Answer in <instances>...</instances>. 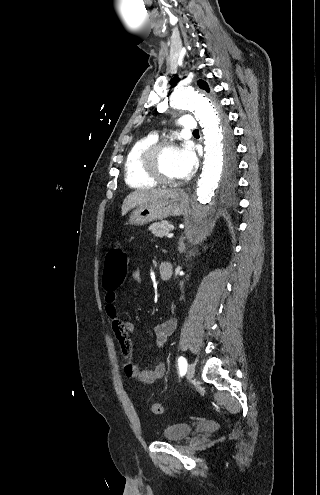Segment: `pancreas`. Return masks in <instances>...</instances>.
I'll return each instance as SVG.
<instances>
[{"mask_svg":"<svg viewBox=\"0 0 320 495\" xmlns=\"http://www.w3.org/2000/svg\"><path fill=\"white\" fill-rule=\"evenodd\" d=\"M149 230L157 237L167 236L171 231L174 230V226L168 221L164 220L161 222H156L150 225Z\"/></svg>","mask_w":320,"mask_h":495,"instance_id":"pancreas-1","label":"pancreas"}]
</instances>
